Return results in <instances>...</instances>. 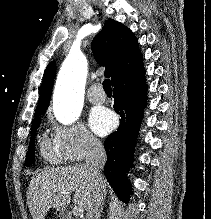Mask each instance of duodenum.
Here are the masks:
<instances>
[{
  "label": "duodenum",
  "mask_w": 211,
  "mask_h": 219,
  "mask_svg": "<svg viewBox=\"0 0 211 219\" xmlns=\"http://www.w3.org/2000/svg\"><path fill=\"white\" fill-rule=\"evenodd\" d=\"M58 214L60 219H73L71 214L66 209H60Z\"/></svg>",
  "instance_id": "1"
}]
</instances>
